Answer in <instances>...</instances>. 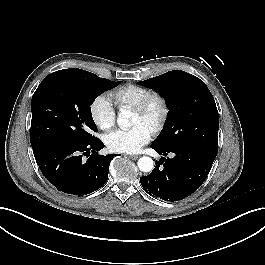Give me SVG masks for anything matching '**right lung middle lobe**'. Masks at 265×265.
<instances>
[{"instance_id": "right-lung-middle-lobe-1", "label": "right lung middle lobe", "mask_w": 265, "mask_h": 265, "mask_svg": "<svg viewBox=\"0 0 265 265\" xmlns=\"http://www.w3.org/2000/svg\"><path fill=\"white\" fill-rule=\"evenodd\" d=\"M119 84L78 68L49 74L32 96V149L96 140L93 133L97 127L90 105L100 94Z\"/></svg>"}]
</instances>
